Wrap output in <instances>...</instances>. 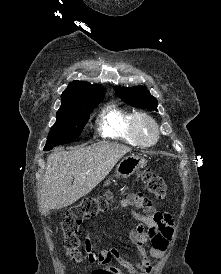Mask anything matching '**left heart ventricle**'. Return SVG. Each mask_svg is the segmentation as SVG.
<instances>
[{
    "label": "left heart ventricle",
    "instance_id": "1",
    "mask_svg": "<svg viewBox=\"0 0 221 274\" xmlns=\"http://www.w3.org/2000/svg\"><path fill=\"white\" fill-rule=\"evenodd\" d=\"M141 135L146 141H151L153 138V133L151 127L144 123L141 126Z\"/></svg>",
    "mask_w": 221,
    "mask_h": 274
}]
</instances>
